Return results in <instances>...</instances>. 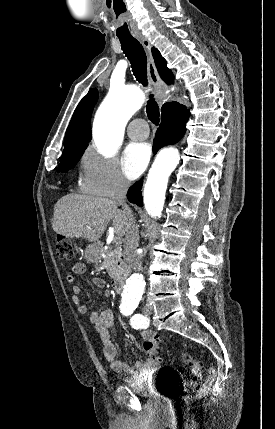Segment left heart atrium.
<instances>
[{"label": "left heart atrium", "mask_w": 275, "mask_h": 429, "mask_svg": "<svg viewBox=\"0 0 275 429\" xmlns=\"http://www.w3.org/2000/svg\"><path fill=\"white\" fill-rule=\"evenodd\" d=\"M150 146L146 143H130L122 156V168L129 179H135L145 170L150 159Z\"/></svg>", "instance_id": "39dd6f15"}]
</instances>
